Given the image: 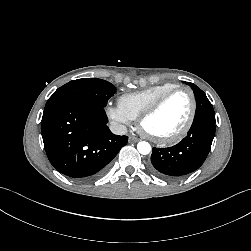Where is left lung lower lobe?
I'll list each match as a JSON object with an SVG mask.
<instances>
[{"mask_svg": "<svg viewBox=\"0 0 251 251\" xmlns=\"http://www.w3.org/2000/svg\"><path fill=\"white\" fill-rule=\"evenodd\" d=\"M215 116L194 118L187 136L168 148H153L150 169L157 176L174 180L197 170L205 161L215 134Z\"/></svg>", "mask_w": 251, "mask_h": 251, "instance_id": "1", "label": "left lung lower lobe"}]
</instances>
